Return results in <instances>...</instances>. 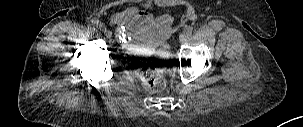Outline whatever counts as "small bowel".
<instances>
[{
    "mask_svg": "<svg viewBox=\"0 0 303 127\" xmlns=\"http://www.w3.org/2000/svg\"><path fill=\"white\" fill-rule=\"evenodd\" d=\"M110 22L116 26L119 38L131 33L142 41L138 51H149L164 43L171 35V17H155L142 7H130L111 16Z\"/></svg>",
    "mask_w": 303,
    "mask_h": 127,
    "instance_id": "c3829d8e",
    "label": "small bowel"
}]
</instances>
